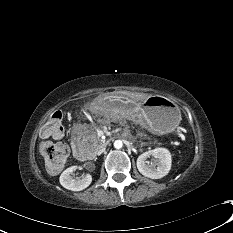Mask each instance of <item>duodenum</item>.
<instances>
[{
  "label": "duodenum",
  "instance_id": "obj_1",
  "mask_svg": "<svg viewBox=\"0 0 233 233\" xmlns=\"http://www.w3.org/2000/svg\"><path fill=\"white\" fill-rule=\"evenodd\" d=\"M73 149H74V153H75L76 157L79 160H82V161L91 160V154H90L89 150L87 149V147L84 144L74 142L73 143Z\"/></svg>",
  "mask_w": 233,
  "mask_h": 233
}]
</instances>
